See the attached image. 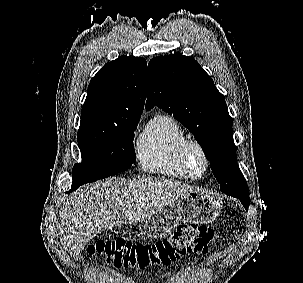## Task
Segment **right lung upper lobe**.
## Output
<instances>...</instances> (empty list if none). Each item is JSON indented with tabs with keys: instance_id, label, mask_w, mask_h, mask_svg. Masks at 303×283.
Here are the masks:
<instances>
[{
	"instance_id": "cb5924a9",
	"label": "right lung upper lobe",
	"mask_w": 303,
	"mask_h": 283,
	"mask_svg": "<svg viewBox=\"0 0 303 283\" xmlns=\"http://www.w3.org/2000/svg\"><path fill=\"white\" fill-rule=\"evenodd\" d=\"M146 60L121 56L91 79L80 126L104 127L140 120L145 103Z\"/></svg>"
}]
</instances>
